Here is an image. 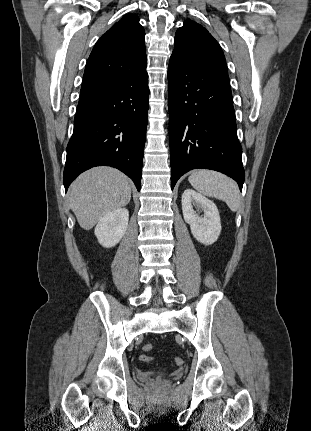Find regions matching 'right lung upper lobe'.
Returning a JSON list of instances; mask_svg holds the SVG:
<instances>
[{"label":"right lung upper lobe","instance_id":"obj_1","mask_svg":"<svg viewBox=\"0 0 311 431\" xmlns=\"http://www.w3.org/2000/svg\"><path fill=\"white\" fill-rule=\"evenodd\" d=\"M146 63L144 28L137 15L128 14L95 44L85 67L81 93L133 79Z\"/></svg>","mask_w":311,"mask_h":431}]
</instances>
